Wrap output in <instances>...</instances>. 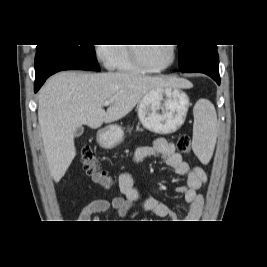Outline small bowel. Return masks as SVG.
<instances>
[{"mask_svg":"<svg viewBox=\"0 0 267 267\" xmlns=\"http://www.w3.org/2000/svg\"><path fill=\"white\" fill-rule=\"evenodd\" d=\"M160 156L165 164L172 168L176 174L187 178L186 185L175 188L177 194L183 195L189 204L184 220L195 222L203 211V197L198 193L201 186L207 181V174L200 166H190L176 151L173 143L164 138H158L152 146H143L136 149L133 154L135 163L147 157ZM118 188L123 196H116L111 200L95 199L83 208L78 216V222H92L98 219L99 214L113 209L117 216L124 218L134 206L150 212L158 217L179 220L176 213L165 203L152 196L143 197L134 186V179L130 172H122L118 177Z\"/></svg>","mask_w":267,"mask_h":267,"instance_id":"small-bowel-1","label":"small bowel"}]
</instances>
